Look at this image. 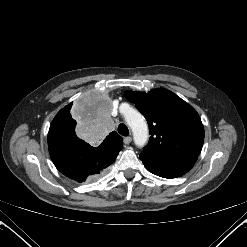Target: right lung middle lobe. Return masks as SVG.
<instances>
[{"mask_svg":"<svg viewBox=\"0 0 247 247\" xmlns=\"http://www.w3.org/2000/svg\"><path fill=\"white\" fill-rule=\"evenodd\" d=\"M75 126H76V121L72 118L70 112H68L66 116L59 119L57 123V127L66 128L72 131H75Z\"/></svg>","mask_w":247,"mask_h":247,"instance_id":"dd1d6c3e","label":"right lung middle lobe"}]
</instances>
